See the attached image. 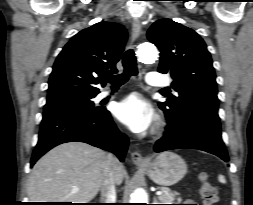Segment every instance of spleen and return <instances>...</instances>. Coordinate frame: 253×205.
Instances as JSON below:
<instances>
[{
  "label": "spleen",
  "mask_w": 253,
  "mask_h": 205,
  "mask_svg": "<svg viewBox=\"0 0 253 205\" xmlns=\"http://www.w3.org/2000/svg\"><path fill=\"white\" fill-rule=\"evenodd\" d=\"M218 180H219V182H221V183H226V179H225V177H224L223 175H219V176H218Z\"/></svg>",
  "instance_id": "3e777b00"
}]
</instances>
